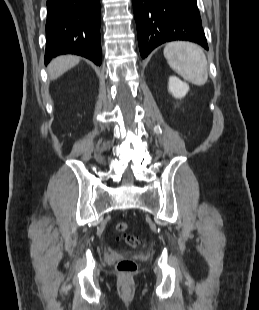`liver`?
Masks as SVG:
<instances>
[{"label":"liver","mask_w":259,"mask_h":310,"mask_svg":"<svg viewBox=\"0 0 259 310\" xmlns=\"http://www.w3.org/2000/svg\"><path fill=\"white\" fill-rule=\"evenodd\" d=\"M80 61V58L72 55H63L55 58L48 65L47 71L49 74V78L51 80H55L61 75H63L66 71L70 70L74 66H76Z\"/></svg>","instance_id":"1"}]
</instances>
